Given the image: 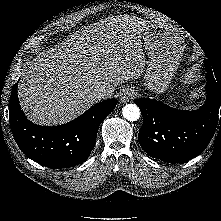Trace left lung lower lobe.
I'll use <instances>...</instances> for the list:
<instances>
[{"label":"left lung lower lobe","mask_w":221,"mask_h":221,"mask_svg":"<svg viewBox=\"0 0 221 221\" xmlns=\"http://www.w3.org/2000/svg\"><path fill=\"white\" fill-rule=\"evenodd\" d=\"M206 71L207 98L197 110H178L149 98L135 100L143 116L138 140L149 156L183 164L201 154L221 127V84L210 67Z\"/></svg>","instance_id":"1"}]
</instances>
